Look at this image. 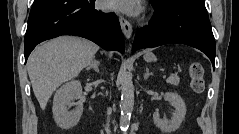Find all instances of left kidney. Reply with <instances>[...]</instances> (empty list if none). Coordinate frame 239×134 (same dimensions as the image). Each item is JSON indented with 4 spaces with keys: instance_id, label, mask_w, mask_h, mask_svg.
Wrapping results in <instances>:
<instances>
[{
    "instance_id": "1",
    "label": "left kidney",
    "mask_w": 239,
    "mask_h": 134,
    "mask_svg": "<svg viewBox=\"0 0 239 134\" xmlns=\"http://www.w3.org/2000/svg\"><path fill=\"white\" fill-rule=\"evenodd\" d=\"M165 101H168L175 108L173 116L170 120L166 118H160L159 113L155 112L153 114V120L155 125L164 133H171L176 131L182 121L185 118L186 114V105L183 99L177 94L173 92H166L164 95Z\"/></svg>"
}]
</instances>
